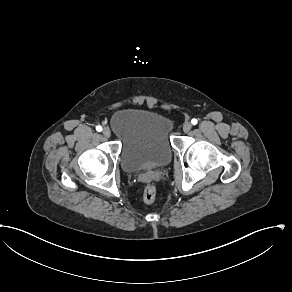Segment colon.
I'll return each instance as SVG.
<instances>
[{"label":"colon","instance_id":"1","mask_svg":"<svg viewBox=\"0 0 292 292\" xmlns=\"http://www.w3.org/2000/svg\"><path fill=\"white\" fill-rule=\"evenodd\" d=\"M157 189L155 184L147 182L143 188V202L146 205H151L156 200Z\"/></svg>","mask_w":292,"mask_h":292}]
</instances>
